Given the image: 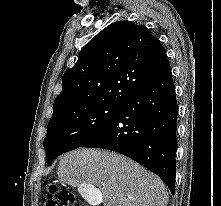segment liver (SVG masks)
<instances>
[{
  "mask_svg": "<svg viewBox=\"0 0 221 206\" xmlns=\"http://www.w3.org/2000/svg\"><path fill=\"white\" fill-rule=\"evenodd\" d=\"M59 179L77 187L90 201L89 192L101 189L104 206H167L163 181L135 161L115 152L80 148L61 157Z\"/></svg>",
  "mask_w": 221,
  "mask_h": 206,
  "instance_id": "1",
  "label": "liver"
}]
</instances>
